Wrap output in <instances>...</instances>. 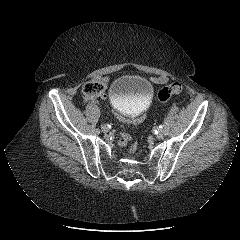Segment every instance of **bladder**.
<instances>
[{
  "label": "bladder",
  "instance_id": "obj_1",
  "mask_svg": "<svg viewBox=\"0 0 240 240\" xmlns=\"http://www.w3.org/2000/svg\"><path fill=\"white\" fill-rule=\"evenodd\" d=\"M114 108L125 117H132L145 110L153 96V86L144 77L123 75L109 88Z\"/></svg>",
  "mask_w": 240,
  "mask_h": 240
}]
</instances>
